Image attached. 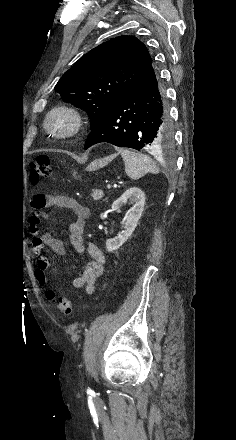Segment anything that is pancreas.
<instances>
[{
    "instance_id": "pancreas-1",
    "label": "pancreas",
    "mask_w": 236,
    "mask_h": 440,
    "mask_svg": "<svg viewBox=\"0 0 236 440\" xmlns=\"http://www.w3.org/2000/svg\"><path fill=\"white\" fill-rule=\"evenodd\" d=\"M91 197L93 198V200L98 201L103 197V192L101 190L95 189L91 193Z\"/></svg>"
}]
</instances>
